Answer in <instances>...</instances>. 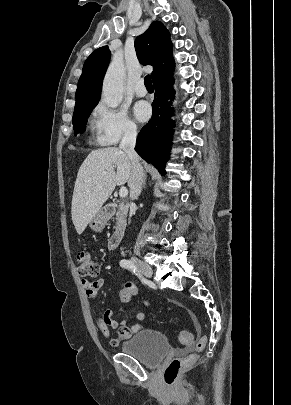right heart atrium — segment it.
<instances>
[{"label":"right heart atrium","mask_w":291,"mask_h":405,"mask_svg":"<svg viewBox=\"0 0 291 405\" xmlns=\"http://www.w3.org/2000/svg\"><path fill=\"white\" fill-rule=\"evenodd\" d=\"M92 120L96 142L101 146H113L137 134L136 123L126 110L121 108H112L100 103L93 111Z\"/></svg>","instance_id":"d8ad5b80"}]
</instances>
